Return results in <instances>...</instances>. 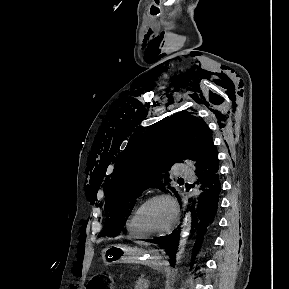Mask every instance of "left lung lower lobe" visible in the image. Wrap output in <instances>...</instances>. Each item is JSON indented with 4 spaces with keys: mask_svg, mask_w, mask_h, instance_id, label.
Returning <instances> with one entry per match:
<instances>
[{
    "mask_svg": "<svg viewBox=\"0 0 289 289\" xmlns=\"http://www.w3.org/2000/svg\"><path fill=\"white\" fill-rule=\"evenodd\" d=\"M196 175L200 184L199 194L197 195L195 207H191L192 211V227L197 230V237L193 248L192 263L199 251L202 240L206 234L212 229L215 215L218 208L220 195V179H219V160L216 148H214L204 163L196 169ZM178 201L180 202V198ZM191 201V199H189ZM179 240V231H175L170 235L158 237L151 242L166 245V250L173 260L175 251L177 250Z\"/></svg>",
    "mask_w": 289,
    "mask_h": 289,
    "instance_id": "0a47b994",
    "label": "left lung lower lobe"
}]
</instances>
